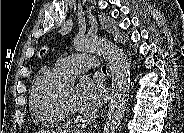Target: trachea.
Wrapping results in <instances>:
<instances>
[{"mask_svg": "<svg viewBox=\"0 0 184 133\" xmlns=\"http://www.w3.org/2000/svg\"><path fill=\"white\" fill-rule=\"evenodd\" d=\"M102 70L105 72L106 71V66H103Z\"/></svg>", "mask_w": 184, "mask_h": 133, "instance_id": "trachea-1", "label": "trachea"}]
</instances>
